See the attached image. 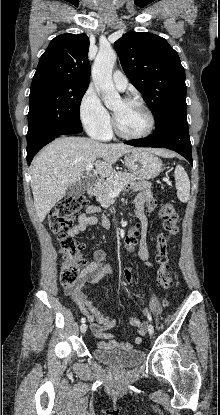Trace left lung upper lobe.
<instances>
[{"label":"left lung upper lobe","mask_w":220,"mask_h":415,"mask_svg":"<svg viewBox=\"0 0 220 415\" xmlns=\"http://www.w3.org/2000/svg\"><path fill=\"white\" fill-rule=\"evenodd\" d=\"M122 68L155 116L187 106L185 71L177 52L162 37L128 32L114 43Z\"/></svg>","instance_id":"left-lung-upper-lobe-1"}]
</instances>
